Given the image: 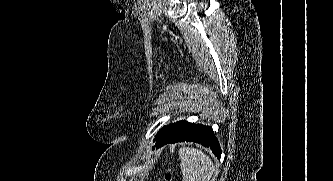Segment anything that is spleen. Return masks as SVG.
I'll return each instance as SVG.
<instances>
[{
    "label": "spleen",
    "instance_id": "obj_1",
    "mask_svg": "<svg viewBox=\"0 0 333 181\" xmlns=\"http://www.w3.org/2000/svg\"><path fill=\"white\" fill-rule=\"evenodd\" d=\"M183 181H211L215 166L209 156L201 150L184 147L179 150Z\"/></svg>",
    "mask_w": 333,
    "mask_h": 181
}]
</instances>
